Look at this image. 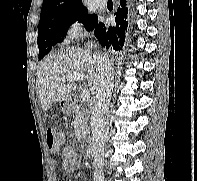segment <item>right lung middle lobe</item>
Masks as SVG:
<instances>
[{
	"mask_svg": "<svg viewBox=\"0 0 197 181\" xmlns=\"http://www.w3.org/2000/svg\"><path fill=\"white\" fill-rule=\"evenodd\" d=\"M76 21L84 24L88 31L93 30L98 23V16L88 14L83 7L73 11L40 18L38 27L39 59H42L52 47L63 41L68 27Z\"/></svg>",
	"mask_w": 197,
	"mask_h": 181,
	"instance_id": "obj_1",
	"label": "right lung middle lobe"
}]
</instances>
